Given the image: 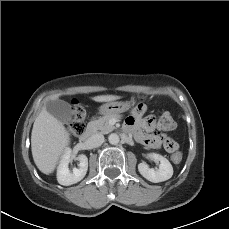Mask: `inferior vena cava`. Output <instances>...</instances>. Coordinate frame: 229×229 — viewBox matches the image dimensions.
I'll list each match as a JSON object with an SVG mask.
<instances>
[{
	"label": "inferior vena cava",
	"mask_w": 229,
	"mask_h": 229,
	"mask_svg": "<svg viewBox=\"0 0 229 229\" xmlns=\"http://www.w3.org/2000/svg\"><path fill=\"white\" fill-rule=\"evenodd\" d=\"M103 142L104 136L101 133H95L89 139V143L92 147H99Z\"/></svg>",
	"instance_id": "inferior-vena-cava-1"
}]
</instances>
